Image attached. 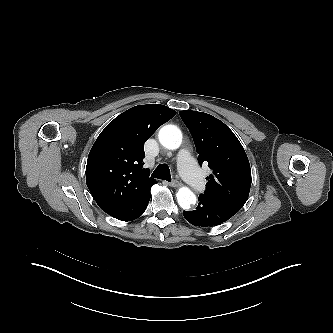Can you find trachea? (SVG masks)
<instances>
[{
    "mask_svg": "<svg viewBox=\"0 0 333 333\" xmlns=\"http://www.w3.org/2000/svg\"><path fill=\"white\" fill-rule=\"evenodd\" d=\"M152 177L171 182L170 169L167 164H160L152 173Z\"/></svg>",
    "mask_w": 333,
    "mask_h": 333,
    "instance_id": "1",
    "label": "trachea"
}]
</instances>
